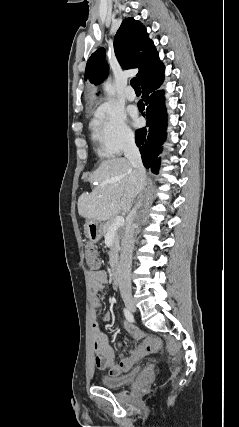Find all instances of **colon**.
I'll list each match as a JSON object with an SVG mask.
<instances>
[{"instance_id":"1","label":"colon","mask_w":239,"mask_h":427,"mask_svg":"<svg viewBox=\"0 0 239 427\" xmlns=\"http://www.w3.org/2000/svg\"><path fill=\"white\" fill-rule=\"evenodd\" d=\"M85 258L86 263L91 269H97L101 264V259L97 248L91 244H85Z\"/></svg>"}]
</instances>
